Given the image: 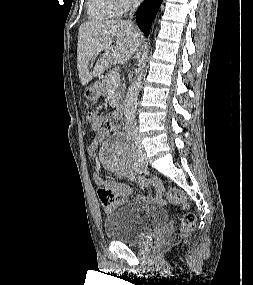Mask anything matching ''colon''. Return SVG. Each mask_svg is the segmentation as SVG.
Returning a JSON list of instances; mask_svg holds the SVG:
<instances>
[{
	"label": "colon",
	"instance_id": "obj_1",
	"mask_svg": "<svg viewBox=\"0 0 253 285\" xmlns=\"http://www.w3.org/2000/svg\"><path fill=\"white\" fill-rule=\"evenodd\" d=\"M87 118L91 127L100 126L101 119L99 114L95 112H88ZM166 195L170 203L181 205L182 208L185 210V213L183 214L180 223L181 233L184 235L191 233L196 226V216L194 215V213L189 211V204L185 196L182 192L176 189L168 190ZM98 198L103 205L109 206L111 204L119 202L121 196L111 188L101 187L98 190Z\"/></svg>",
	"mask_w": 253,
	"mask_h": 285
}]
</instances>
